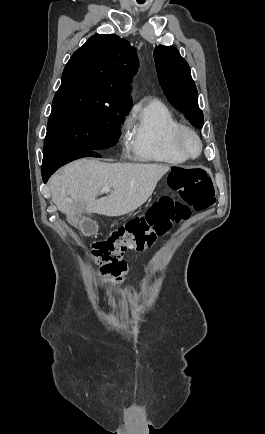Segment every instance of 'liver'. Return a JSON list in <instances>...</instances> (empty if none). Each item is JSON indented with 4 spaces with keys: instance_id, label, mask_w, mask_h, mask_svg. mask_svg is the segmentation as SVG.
<instances>
[{
    "instance_id": "1",
    "label": "liver",
    "mask_w": 265,
    "mask_h": 434,
    "mask_svg": "<svg viewBox=\"0 0 265 434\" xmlns=\"http://www.w3.org/2000/svg\"><path fill=\"white\" fill-rule=\"evenodd\" d=\"M169 170L157 164H105L83 158L50 178L52 202L72 226H78L81 214L124 216L147 202ZM104 186L111 188L110 196L96 200Z\"/></svg>"
}]
</instances>
